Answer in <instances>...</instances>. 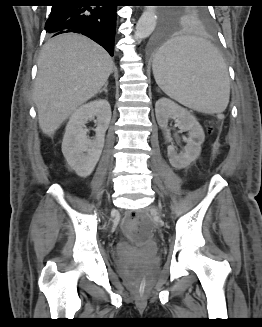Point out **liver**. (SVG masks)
I'll list each match as a JSON object with an SVG mask.
<instances>
[{
  "instance_id": "liver-1",
  "label": "liver",
  "mask_w": 262,
  "mask_h": 327,
  "mask_svg": "<svg viewBox=\"0 0 262 327\" xmlns=\"http://www.w3.org/2000/svg\"><path fill=\"white\" fill-rule=\"evenodd\" d=\"M113 65L110 55L83 35L65 33L49 40L38 59L33 93L42 132L52 136L95 96L107 84Z\"/></svg>"
}]
</instances>
